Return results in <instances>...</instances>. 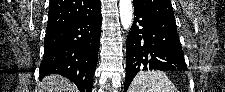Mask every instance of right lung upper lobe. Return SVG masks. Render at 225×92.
Listing matches in <instances>:
<instances>
[{"mask_svg":"<svg viewBox=\"0 0 225 92\" xmlns=\"http://www.w3.org/2000/svg\"><path fill=\"white\" fill-rule=\"evenodd\" d=\"M100 12V0H51L46 31L64 27L79 19L94 17Z\"/></svg>","mask_w":225,"mask_h":92,"instance_id":"cb5924a9","label":"right lung upper lobe"}]
</instances>
